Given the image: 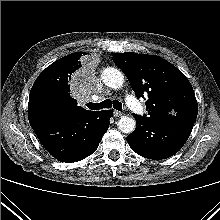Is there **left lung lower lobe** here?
I'll return each instance as SVG.
<instances>
[{
    "mask_svg": "<svg viewBox=\"0 0 220 220\" xmlns=\"http://www.w3.org/2000/svg\"><path fill=\"white\" fill-rule=\"evenodd\" d=\"M136 128L126 137L129 146L137 154L162 160L173 156L187 141L194 122L188 119L150 121L134 114Z\"/></svg>",
    "mask_w": 220,
    "mask_h": 220,
    "instance_id": "1",
    "label": "left lung lower lobe"
}]
</instances>
